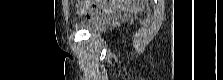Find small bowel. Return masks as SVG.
Returning a JSON list of instances; mask_svg holds the SVG:
<instances>
[{"mask_svg": "<svg viewBox=\"0 0 223 80\" xmlns=\"http://www.w3.org/2000/svg\"><path fill=\"white\" fill-rule=\"evenodd\" d=\"M120 7L119 3H116L112 6L111 9H118ZM108 11V8L98 3H89L83 6L78 7V13L86 16L87 18L101 15Z\"/></svg>", "mask_w": 223, "mask_h": 80, "instance_id": "c3829d8e", "label": "small bowel"}]
</instances>
